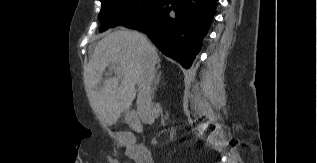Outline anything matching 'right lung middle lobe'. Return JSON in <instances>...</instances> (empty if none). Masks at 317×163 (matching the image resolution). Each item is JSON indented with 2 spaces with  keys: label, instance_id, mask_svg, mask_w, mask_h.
<instances>
[{
  "label": "right lung middle lobe",
  "instance_id": "1",
  "mask_svg": "<svg viewBox=\"0 0 317 163\" xmlns=\"http://www.w3.org/2000/svg\"><path fill=\"white\" fill-rule=\"evenodd\" d=\"M164 0H100V31L127 25L153 12Z\"/></svg>",
  "mask_w": 317,
  "mask_h": 163
}]
</instances>
